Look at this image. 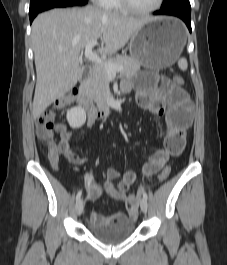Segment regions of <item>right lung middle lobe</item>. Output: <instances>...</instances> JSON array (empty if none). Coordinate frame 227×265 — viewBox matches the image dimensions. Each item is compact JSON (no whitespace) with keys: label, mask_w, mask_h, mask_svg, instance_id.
I'll use <instances>...</instances> for the list:
<instances>
[{"label":"right lung middle lobe","mask_w":227,"mask_h":265,"mask_svg":"<svg viewBox=\"0 0 227 265\" xmlns=\"http://www.w3.org/2000/svg\"><path fill=\"white\" fill-rule=\"evenodd\" d=\"M55 1H58V0H31L29 14L38 12L44 9L48 4L55 2Z\"/></svg>","instance_id":"1"}]
</instances>
